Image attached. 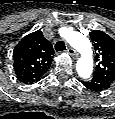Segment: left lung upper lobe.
I'll return each instance as SVG.
<instances>
[{
	"label": "left lung upper lobe",
	"mask_w": 115,
	"mask_h": 119,
	"mask_svg": "<svg viewBox=\"0 0 115 119\" xmlns=\"http://www.w3.org/2000/svg\"><path fill=\"white\" fill-rule=\"evenodd\" d=\"M89 35L96 51V61H98L95 75L115 82V40L100 30H94Z\"/></svg>",
	"instance_id": "1"
}]
</instances>
